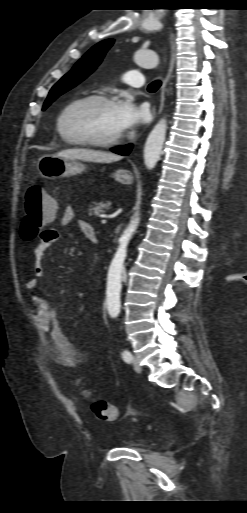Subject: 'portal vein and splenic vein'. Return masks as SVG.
I'll return each mask as SVG.
<instances>
[{
	"instance_id": "18ae733b",
	"label": "portal vein and splenic vein",
	"mask_w": 247,
	"mask_h": 513,
	"mask_svg": "<svg viewBox=\"0 0 247 513\" xmlns=\"http://www.w3.org/2000/svg\"><path fill=\"white\" fill-rule=\"evenodd\" d=\"M106 222H107V220H106V219H104V218H102L101 223H102V224H105Z\"/></svg>"
}]
</instances>
